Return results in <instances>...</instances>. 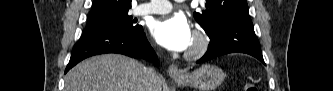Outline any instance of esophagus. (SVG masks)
Wrapping results in <instances>:
<instances>
[{
    "label": "esophagus",
    "mask_w": 333,
    "mask_h": 91,
    "mask_svg": "<svg viewBox=\"0 0 333 91\" xmlns=\"http://www.w3.org/2000/svg\"><path fill=\"white\" fill-rule=\"evenodd\" d=\"M168 72H169V75L173 78H177V77H181L184 75V73L182 72V70H180L178 68L177 65L175 64H171L168 68Z\"/></svg>",
    "instance_id": "34e87169"
}]
</instances>
